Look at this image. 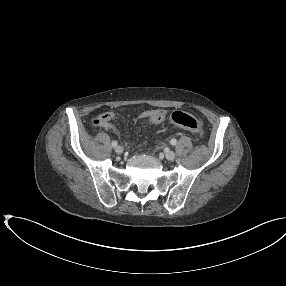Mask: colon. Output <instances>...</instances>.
<instances>
[{"mask_svg":"<svg viewBox=\"0 0 286 286\" xmlns=\"http://www.w3.org/2000/svg\"><path fill=\"white\" fill-rule=\"evenodd\" d=\"M170 120L174 125L187 129L195 134H199L201 132V122L196 117L188 113L175 111L171 114Z\"/></svg>","mask_w":286,"mask_h":286,"instance_id":"obj_1","label":"colon"}]
</instances>
